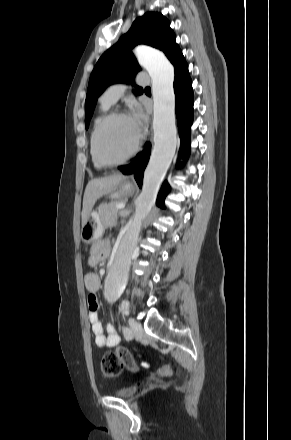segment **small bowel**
I'll use <instances>...</instances> for the list:
<instances>
[{"label": "small bowel", "instance_id": "obj_1", "mask_svg": "<svg viewBox=\"0 0 291 440\" xmlns=\"http://www.w3.org/2000/svg\"><path fill=\"white\" fill-rule=\"evenodd\" d=\"M111 250V244L109 240H101L96 242L91 249L90 255L88 257V264L90 266H95L100 260L106 258ZM84 283L88 296V310H89V320L92 326V331L95 335V343L99 347H113L119 343V336L116 333L112 325H108L106 332L104 330L103 324L100 321L99 316V300L96 293L100 289L101 282L100 278L96 273H88L84 277ZM129 304L123 301L120 305L122 312L126 313L128 311ZM143 367H147V364H143Z\"/></svg>", "mask_w": 291, "mask_h": 440}]
</instances>
